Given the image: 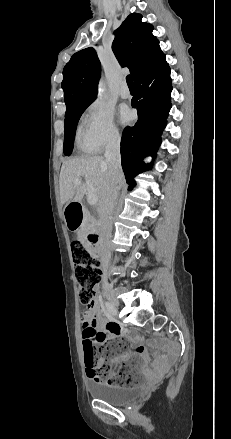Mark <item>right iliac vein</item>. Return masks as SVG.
I'll return each mask as SVG.
<instances>
[{
  "instance_id": "63e3f726",
  "label": "right iliac vein",
  "mask_w": 231,
  "mask_h": 439,
  "mask_svg": "<svg viewBox=\"0 0 231 439\" xmlns=\"http://www.w3.org/2000/svg\"><path fill=\"white\" fill-rule=\"evenodd\" d=\"M107 298H108V300H109V302H110V304H111V306L113 307V310H114L112 315L116 316L117 315V307L119 305V301L116 298L115 292L113 290H110L107 293Z\"/></svg>"
}]
</instances>
